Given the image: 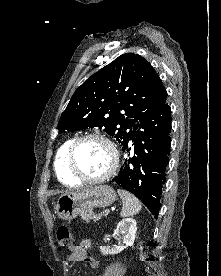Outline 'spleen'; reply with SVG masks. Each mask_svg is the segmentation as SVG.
Segmentation results:
<instances>
[{"mask_svg":"<svg viewBox=\"0 0 221 276\" xmlns=\"http://www.w3.org/2000/svg\"><path fill=\"white\" fill-rule=\"evenodd\" d=\"M117 192L123 202L122 210L120 212L122 217H130L139 213L142 206L136 197L123 189H118Z\"/></svg>","mask_w":221,"mask_h":276,"instance_id":"obj_1","label":"spleen"}]
</instances>
